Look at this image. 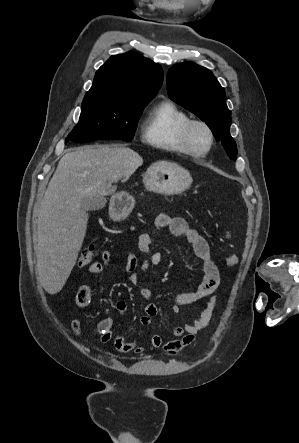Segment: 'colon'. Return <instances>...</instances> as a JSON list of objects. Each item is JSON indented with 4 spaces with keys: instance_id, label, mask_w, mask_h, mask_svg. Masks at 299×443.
Wrapping results in <instances>:
<instances>
[{
    "instance_id": "5ec220e1",
    "label": "colon",
    "mask_w": 299,
    "mask_h": 443,
    "mask_svg": "<svg viewBox=\"0 0 299 443\" xmlns=\"http://www.w3.org/2000/svg\"><path fill=\"white\" fill-rule=\"evenodd\" d=\"M93 257H94V246L88 245L83 248L78 260V264L80 266H86L91 263ZM226 262L229 266H235L238 264L239 259L235 254H229L226 257Z\"/></svg>"
}]
</instances>
